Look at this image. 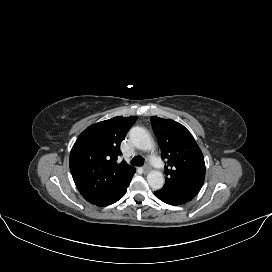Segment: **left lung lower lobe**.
<instances>
[{
    "mask_svg": "<svg viewBox=\"0 0 272 272\" xmlns=\"http://www.w3.org/2000/svg\"><path fill=\"white\" fill-rule=\"evenodd\" d=\"M198 192L162 188L155 191L157 198L170 205H181L192 200Z\"/></svg>",
    "mask_w": 272,
    "mask_h": 272,
    "instance_id": "obj_1",
    "label": "left lung lower lobe"
}]
</instances>
